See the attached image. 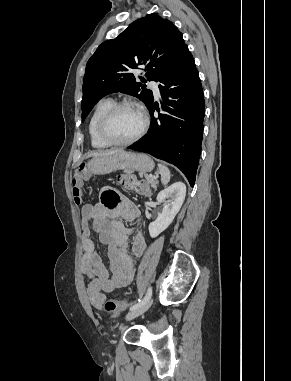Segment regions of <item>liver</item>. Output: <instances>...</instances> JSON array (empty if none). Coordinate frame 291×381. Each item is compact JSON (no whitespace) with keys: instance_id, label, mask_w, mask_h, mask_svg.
I'll use <instances>...</instances> for the list:
<instances>
[{"instance_id":"6515ba94","label":"liver","mask_w":291,"mask_h":381,"mask_svg":"<svg viewBox=\"0 0 291 381\" xmlns=\"http://www.w3.org/2000/svg\"><path fill=\"white\" fill-rule=\"evenodd\" d=\"M118 152H122V150L114 149V150H108V151H94L88 154L87 157H98V156H105V155H112Z\"/></svg>"}]
</instances>
